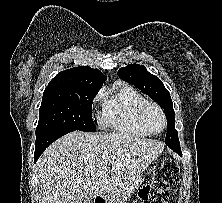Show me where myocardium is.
Masks as SVG:
<instances>
[{
  "instance_id": "myocardium-1",
  "label": "myocardium",
  "mask_w": 222,
  "mask_h": 203,
  "mask_svg": "<svg viewBox=\"0 0 222 203\" xmlns=\"http://www.w3.org/2000/svg\"><path fill=\"white\" fill-rule=\"evenodd\" d=\"M156 109L162 116V119H163V127L160 131L158 132H155L153 131L148 123H147V120H146V115H147V112L149 109ZM138 119H139V122L141 124V126L147 131L149 132L150 134L152 135H159L161 134L165 129H166V126H167V118H166V114L164 112V110L162 109V107L160 105H158L157 103L155 102H145L140 108H139V111H138Z\"/></svg>"
}]
</instances>
